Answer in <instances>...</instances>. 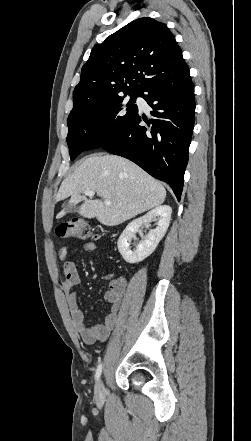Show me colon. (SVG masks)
Returning a JSON list of instances; mask_svg holds the SVG:
<instances>
[{
  "mask_svg": "<svg viewBox=\"0 0 251 441\" xmlns=\"http://www.w3.org/2000/svg\"><path fill=\"white\" fill-rule=\"evenodd\" d=\"M56 234L61 238L71 239H97L99 237V235L80 218H74L59 224L56 228Z\"/></svg>",
  "mask_w": 251,
  "mask_h": 441,
  "instance_id": "obj_1",
  "label": "colon"
}]
</instances>
